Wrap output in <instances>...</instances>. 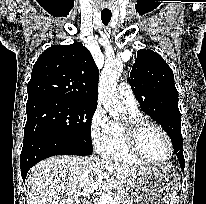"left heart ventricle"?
Returning <instances> with one entry per match:
<instances>
[{"label":"left heart ventricle","instance_id":"obj_1","mask_svg":"<svg viewBox=\"0 0 206 204\" xmlns=\"http://www.w3.org/2000/svg\"><path fill=\"white\" fill-rule=\"evenodd\" d=\"M140 144L145 155L154 161H163L169 155L166 139L152 127H148L142 132Z\"/></svg>","mask_w":206,"mask_h":204}]
</instances>
